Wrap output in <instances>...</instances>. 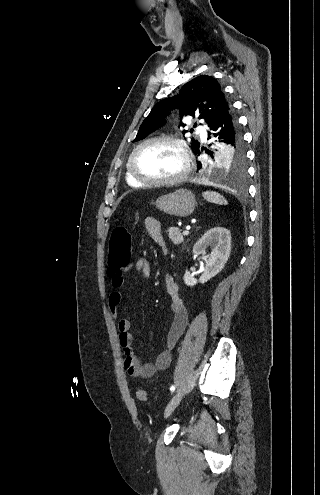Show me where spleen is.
Wrapping results in <instances>:
<instances>
[{
  "mask_svg": "<svg viewBox=\"0 0 320 495\" xmlns=\"http://www.w3.org/2000/svg\"><path fill=\"white\" fill-rule=\"evenodd\" d=\"M203 197L211 203H215L218 205H226L227 204L226 199L221 194L214 192V191L204 192Z\"/></svg>",
  "mask_w": 320,
  "mask_h": 495,
  "instance_id": "obj_1",
  "label": "spleen"
}]
</instances>
